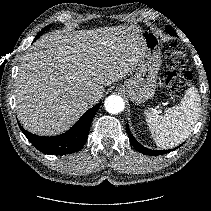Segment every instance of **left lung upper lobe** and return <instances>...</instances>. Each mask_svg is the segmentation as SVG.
I'll return each instance as SVG.
<instances>
[{
	"label": "left lung upper lobe",
	"mask_w": 211,
	"mask_h": 211,
	"mask_svg": "<svg viewBox=\"0 0 211 211\" xmlns=\"http://www.w3.org/2000/svg\"><path fill=\"white\" fill-rule=\"evenodd\" d=\"M166 30H167V32H168L169 34H171V35H173V36H176L175 31H174L171 27L166 26Z\"/></svg>",
	"instance_id": "left-lung-upper-lobe-1"
}]
</instances>
